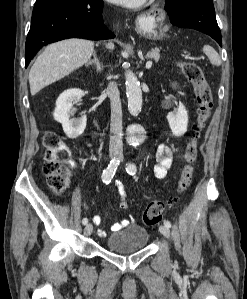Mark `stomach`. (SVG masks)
<instances>
[{"label": "stomach", "mask_w": 247, "mask_h": 299, "mask_svg": "<svg viewBox=\"0 0 247 299\" xmlns=\"http://www.w3.org/2000/svg\"><path fill=\"white\" fill-rule=\"evenodd\" d=\"M138 29L139 31L145 35L146 37H151L152 35L154 37H158V32L156 30H153L152 27L148 26V27H143L141 25V23H138Z\"/></svg>", "instance_id": "0dacf381"}]
</instances>
